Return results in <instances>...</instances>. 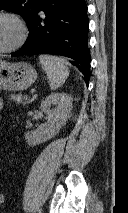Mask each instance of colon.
Returning <instances> with one entry per match:
<instances>
[{"label": "colon", "instance_id": "5ec220e1", "mask_svg": "<svg viewBox=\"0 0 128 213\" xmlns=\"http://www.w3.org/2000/svg\"><path fill=\"white\" fill-rule=\"evenodd\" d=\"M4 202V194L0 191V204Z\"/></svg>", "mask_w": 128, "mask_h": 213}]
</instances>
